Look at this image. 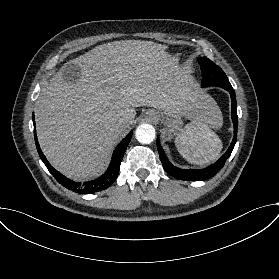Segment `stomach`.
<instances>
[{"label": "stomach", "instance_id": "0dacf381", "mask_svg": "<svg viewBox=\"0 0 279 279\" xmlns=\"http://www.w3.org/2000/svg\"><path fill=\"white\" fill-rule=\"evenodd\" d=\"M148 111H156L160 117L159 121L161 119L164 121L165 128L161 130L163 139L170 140L174 134L182 130V117L184 116L182 111H178V109H174L172 112L167 109H149Z\"/></svg>", "mask_w": 279, "mask_h": 279}]
</instances>
